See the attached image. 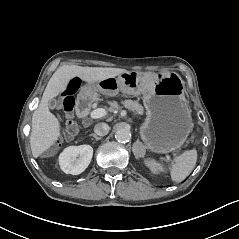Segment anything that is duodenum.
<instances>
[{"instance_id":"410a0bca","label":"duodenum","mask_w":239,"mask_h":239,"mask_svg":"<svg viewBox=\"0 0 239 239\" xmlns=\"http://www.w3.org/2000/svg\"><path fill=\"white\" fill-rule=\"evenodd\" d=\"M91 110V100L88 96H82L76 105V111L79 117L86 119Z\"/></svg>"}]
</instances>
